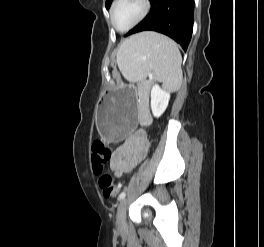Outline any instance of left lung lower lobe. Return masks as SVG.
Here are the masks:
<instances>
[{
  "label": "left lung lower lobe",
  "instance_id": "0a47b994",
  "mask_svg": "<svg viewBox=\"0 0 264 247\" xmlns=\"http://www.w3.org/2000/svg\"><path fill=\"white\" fill-rule=\"evenodd\" d=\"M151 11L126 36L141 31L165 34L186 51L193 31L194 0H150Z\"/></svg>",
  "mask_w": 264,
  "mask_h": 247
}]
</instances>
